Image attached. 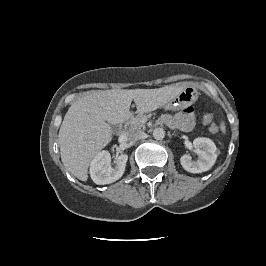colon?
Wrapping results in <instances>:
<instances>
[{
  "instance_id": "obj_1",
  "label": "colon",
  "mask_w": 266,
  "mask_h": 266,
  "mask_svg": "<svg viewBox=\"0 0 266 266\" xmlns=\"http://www.w3.org/2000/svg\"><path fill=\"white\" fill-rule=\"evenodd\" d=\"M203 122L205 124H209V129L211 132H217L218 131V126L215 123H212L213 121V116L212 114H205L202 118Z\"/></svg>"
}]
</instances>
